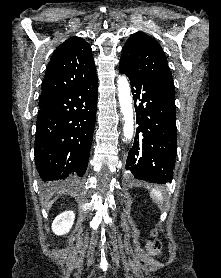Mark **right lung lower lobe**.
Listing matches in <instances>:
<instances>
[{
  "instance_id": "obj_1",
  "label": "right lung lower lobe",
  "mask_w": 221,
  "mask_h": 278,
  "mask_svg": "<svg viewBox=\"0 0 221 278\" xmlns=\"http://www.w3.org/2000/svg\"><path fill=\"white\" fill-rule=\"evenodd\" d=\"M97 76L50 94H41L35 138V163L45 182L82 177L95 127Z\"/></svg>"
}]
</instances>
